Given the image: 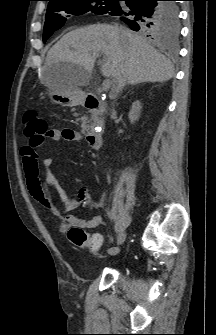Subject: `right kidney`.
<instances>
[{
  "instance_id": "ca27d5eb",
  "label": "right kidney",
  "mask_w": 216,
  "mask_h": 335,
  "mask_svg": "<svg viewBox=\"0 0 216 335\" xmlns=\"http://www.w3.org/2000/svg\"><path fill=\"white\" fill-rule=\"evenodd\" d=\"M142 108L141 102L136 100L132 103V106L130 108L128 117L130 119V122L132 124L135 123V121H137L140 117V110Z\"/></svg>"
}]
</instances>
